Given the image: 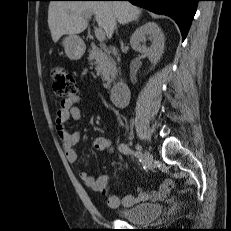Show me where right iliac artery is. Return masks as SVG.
<instances>
[{
    "instance_id": "obj_1",
    "label": "right iliac artery",
    "mask_w": 231,
    "mask_h": 231,
    "mask_svg": "<svg viewBox=\"0 0 231 231\" xmlns=\"http://www.w3.org/2000/svg\"><path fill=\"white\" fill-rule=\"evenodd\" d=\"M119 151L125 155H134L137 158H142V153L140 150L133 151L127 144L121 143L119 145ZM148 166H144V169L147 171Z\"/></svg>"
}]
</instances>
